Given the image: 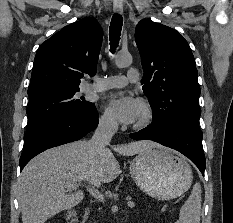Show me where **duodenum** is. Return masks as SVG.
I'll list each match as a JSON object with an SVG mask.
<instances>
[{
  "label": "duodenum",
  "instance_id": "obj_1",
  "mask_svg": "<svg viewBox=\"0 0 233 223\" xmlns=\"http://www.w3.org/2000/svg\"><path fill=\"white\" fill-rule=\"evenodd\" d=\"M66 220L68 223H79L77 212L73 209L66 213Z\"/></svg>",
  "mask_w": 233,
  "mask_h": 223
}]
</instances>
